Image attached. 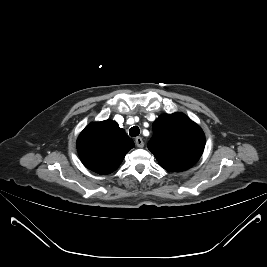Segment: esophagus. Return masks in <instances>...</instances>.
<instances>
[{
	"instance_id": "34e87169",
	"label": "esophagus",
	"mask_w": 267,
	"mask_h": 267,
	"mask_svg": "<svg viewBox=\"0 0 267 267\" xmlns=\"http://www.w3.org/2000/svg\"><path fill=\"white\" fill-rule=\"evenodd\" d=\"M135 143H136V146L139 147V148H142L144 146V142H143L141 137H137L135 139Z\"/></svg>"
}]
</instances>
